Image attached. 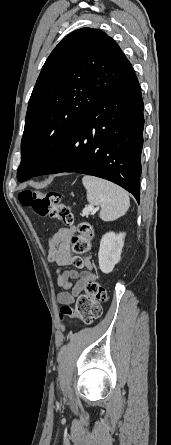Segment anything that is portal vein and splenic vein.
I'll return each mask as SVG.
<instances>
[{
	"label": "portal vein and splenic vein",
	"mask_w": 171,
	"mask_h": 445,
	"mask_svg": "<svg viewBox=\"0 0 171 445\" xmlns=\"http://www.w3.org/2000/svg\"><path fill=\"white\" fill-rule=\"evenodd\" d=\"M96 209L92 206H88L83 210V215L88 216L90 212H94Z\"/></svg>",
	"instance_id": "obj_1"
}]
</instances>
